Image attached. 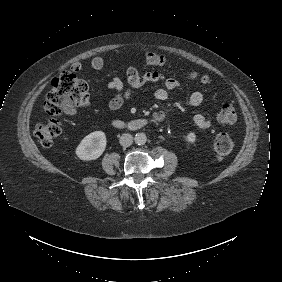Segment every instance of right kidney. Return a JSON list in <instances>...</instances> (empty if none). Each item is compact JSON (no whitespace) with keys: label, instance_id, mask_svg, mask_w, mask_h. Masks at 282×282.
<instances>
[{"label":"right kidney","instance_id":"right-kidney-1","mask_svg":"<svg viewBox=\"0 0 282 282\" xmlns=\"http://www.w3.org/2000/svg\"><path fill=\"white\" fill-rule=\"evenodd\" d=\"M106 148V136L102 131H95L85 136L76 148V155L81 160H95Z\"/></svg>","mask_w":282,"mask_h":282}]
</instances>
